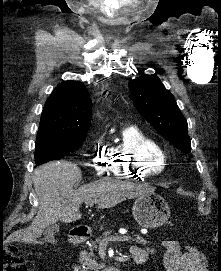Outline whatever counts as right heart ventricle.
<instances>
[{"label": "right heart ventricle", "instance_id": "obj_1", "mask_svg": "<svg viewBox=\"0 0 221 271\" xmlns=\"http://www.w3.org/2000/svg\"><path fill=\"white\" fill-rule=\"evenodd\" d=\"M121 151L118 158H108L112 176L118 179H154L165 172L163 159L166 147L153 136L140 134L136 138H120Z\"/></svg>", "mask_w": 221, "mask_h": 271}]
</instances>
